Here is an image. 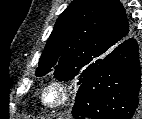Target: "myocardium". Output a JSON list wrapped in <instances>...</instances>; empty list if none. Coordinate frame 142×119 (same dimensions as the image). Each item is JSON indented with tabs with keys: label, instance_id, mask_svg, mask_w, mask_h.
<instances>
[{
	"label": "myocardium",
	"instance_id": "obj_1",
	"mask_svg": "<svg viewBox=\"0 0 142 119\" xmlns=\"http://www.w3.org/2000/svg\"><path fill=\"white\" fill-rule=\"evenodd\" d=\"M71 90L62 80H53L42 91L41 103L44 107L55 110L64 107L70 100Z\"/></svg>",
	"mask_w": 142,
	"mask_h": 119
}]
</instances>
